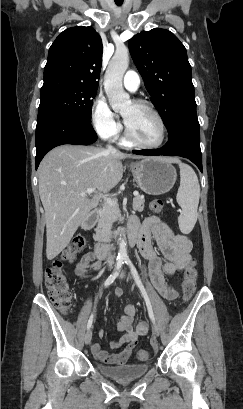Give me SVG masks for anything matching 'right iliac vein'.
Here are the masks:
<instances>
[{
	"label": "right iliac vein",
	"mask_w": 243,
	"mask_h": 409,
	"mask_svg": "<svg viewBox=\"0 0 243 409\" xmlns=\"http://www.w3.org/2000/svg\"><path fill=\"white\" fill-rule=\"evenodd\" d=\"M92 340V330H88L85 334V344L88 345Z\"/></svg>",
	"instance_id": "63e3f726"
}]
</instances>
